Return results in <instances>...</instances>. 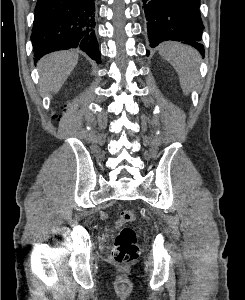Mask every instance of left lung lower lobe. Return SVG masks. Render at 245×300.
<instances>
[{"instance_id": "obj_1", "label": "left lung lower lobe", "mask_w": 245, "mask_h": 300, "mask_svg": "<svg viewBox=\"0 0 245 300\" xmlns=\"http://www.w3.org/2000/svg\"><path fill=\"white\" fill-rule=\"evenodd\" d=\"M199 6L200 0H143L150 46L165 40L184 41L203 55L204 47L198 43L204 28Z\"/></svg>"}]
</instances>
